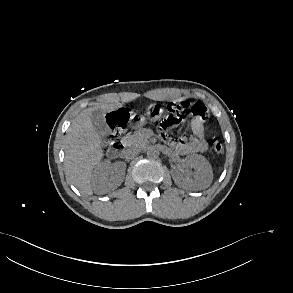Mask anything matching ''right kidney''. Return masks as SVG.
<instances>
[{
    "mask_svg": "<svg viewBox=\"0 0 293 293\" xmlns=\"http://www.w3.org/2000/svg\"><path fill=\"white\" fill-rule=\"evenodd\" d=\"M126 165L122 162L111 164L105 160L99 163L92 174V184L95 190H100L105 184L111 183L118 186L125 175Z\"/></svg>",
    "mask_w": 293,
    "mask_h": 293,
    "instance_id": "1",
    "label": "right kidney"
}]
</instances>
